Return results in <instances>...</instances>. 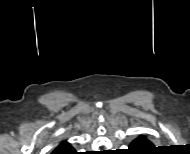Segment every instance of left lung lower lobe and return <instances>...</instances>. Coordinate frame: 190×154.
I'll list each match as a JSON object with an SVG mask.
<instances>
[{
	"mask_svg": "<svg viewBox=\"0 0 190 154\" xmlns=\"http://www.w3.org/2000/svg\"><path fill=\"white\" fill-rule=\"evenodd\" d=\"M150 147H151V142L148 141L144 136H139L136 140H134L131 143L129 149L132 151H143Z\"/></svg>",
	"mask_w": 190,
	"mask_h": 154,
	"instance_id": "obj_1",
	"label": "left lung lower lobe"
}]
</instances>
